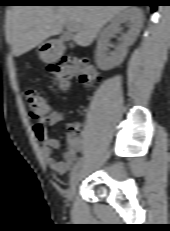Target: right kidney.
Here are the masks:
<instances>
[{"instance_id": "ca27d5eb", "label": "right kidney", "mask_w": 170, "mask_h": 231, "mask_svg": "<svg viewBox=\"0 0 170 231\" xmlns=\"http://www.w3.org/2000/svg\"><path fill=\"white\" fill-rule=\"evenodd\" d=\"M122 23H127L129 30L122 35L121 45L114 52H108L109 39L118 30ZM143 24V12L137 7H129L118 13L110 24L101 32L95 60L101 70H110L120 65L128 53L131 46L140 33Z\"/></svg>"}]
</instances>
